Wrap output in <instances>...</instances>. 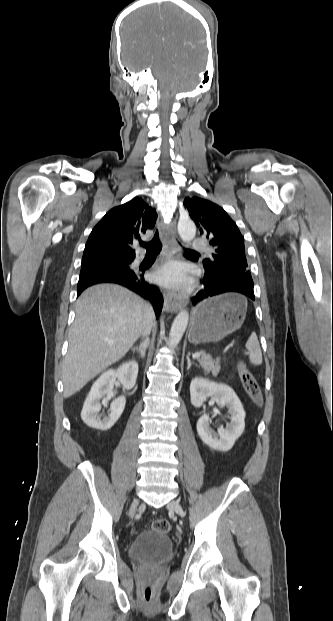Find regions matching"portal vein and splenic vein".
I'll return each mask as SVG.
<instances>
[{"label": "portal vein and splenic vein", "mask_w": 333, "mask_h": 621, "mask_svg": "<svg viewBox=\"0 0 333 621\" xmlns=\"http://www.w3.org/2000/svg\"><path fill=\"white\" fill-rule=\"evenodd\" d=\"M192 357H193L194 359H198V358H200V357H201V353L197 352V353L193 354V355H192Z\"/></svg>", "instance_id": "1"}]
</instances>
